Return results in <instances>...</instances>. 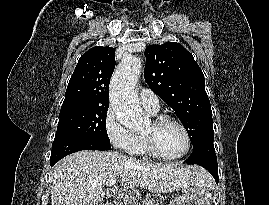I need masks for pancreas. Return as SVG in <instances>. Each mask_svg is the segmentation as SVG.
<instances>
[{"label":"pancreas","mask_w":269,"mask_h":205,"mask_svg":"<svg viewBox=\"0 0 269 205\" xmlns=\"http://www.w3.org/2000/svg\"><path fill=\"white\" fill-rule=\"evenodd\" d=\"M140 200H141L140 192L134 189L129 192V195L126 197V199H124V203L119 202L116 205H144L139 202Z\"/></svg>","instance_id":"1"}]
</instances>
